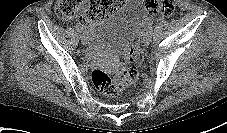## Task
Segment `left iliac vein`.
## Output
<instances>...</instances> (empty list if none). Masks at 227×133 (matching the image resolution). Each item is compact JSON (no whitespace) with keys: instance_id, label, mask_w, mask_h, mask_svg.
I'll return each instance as SVG.
<instances>
[{"instance_id":"obj_1","label":"left iliac vein","mask_w":227,"mask_h":133,"mask_svg":"<svg viewBox=\"0 0 227 133\" xmlns=\"http://www.w3.org/2000/svg\"><path fill=\"white\" fill-rule=\"evenodd\" d=\"M151 42V35L145 31L141 37V43L143 47H148Z\"/></svg>"}]
</instances>
